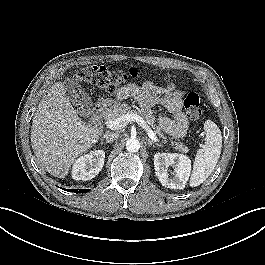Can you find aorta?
<instances>
[{
  "label": "aorta",
  "mask_w": 265,
  "mask_h": 265,
  "mask_svg": "<svg viewBox=\"0 0 265 265\" xmlns=\"http://www.w3.org/2000/svg\"><path fill=\"white\" fill-rule=\"evenodd\" d=\"M126 149L129 152L135 153L140 149V142L136 138H131L126 142Z\"/></svg>",
  "instance_id": "aorta-1"
}]
</instances>
